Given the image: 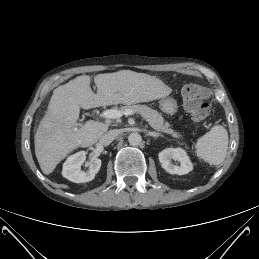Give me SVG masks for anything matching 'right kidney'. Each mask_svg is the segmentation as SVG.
Returning a JSON list of instances; mask_svg holds the SVG:
<instances>
[{"label": "right kidney", "mask_w": 259, "mask_h": 259, "mask_svg": "<svg viewBox=\"0 0 259 259\" xmlns=\"http://www.w3.org/2000/svg\"><path fill=\"white\" fill-rule=\"evenodd\" d=\"M85 160V151H80L69 156L63 164V177L74 183H85L92 181L100 170L101 160L96 157L91 158L89 170L84 172L81 170V165L85 162Z\"/></svg>", "instance_id": "obj_1"}]
</instances>
